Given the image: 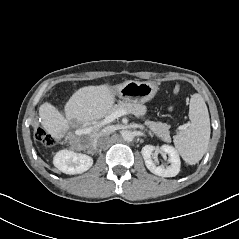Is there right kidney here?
Here are the masks:
<instances>
[{"instance_id": "1", "label": "right kidney", "mask_w": 239, "mask_h": 239, "mask_svg": "<svg viewBox=\"0 0 239 239\" xmlns=\"http://www.w3.org/2000/svg\"><path fill=\"white\" fill-rule=\"evenodd\" d=\"M53 163L63 173L74 175L87 171L92 166L93 159L85 154L64 149L56 153Z\"/></svg>"}]
</instances>
